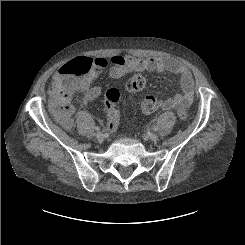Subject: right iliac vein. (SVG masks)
Here are the masks:
<instances>
[{
    "mask_svg": "<svg viewBox=\"0 0 245 245\" xmlns=\"http://www.w3.org/2000/svg\"><path fill=\"white\" fill-rule=\"evenodd\" d=\"M96 138H97L99 141H102L103 138H104L103 133H102V132H97V133H96Z\"/></svg>",
    "mask_w": 245,
    "mask_h": 245,
    "instance_id": "right-iliac-vein-1",
    "label": "right iliac vein"
}]
</instances>
